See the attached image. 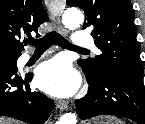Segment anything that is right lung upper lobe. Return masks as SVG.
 <instances>
[{
	"instance_id": "right-lung-upper-lobe-1",
	"label": "right lung upper lobe",
	"mask_w": 145,
	"mask_h": 124,
	"mask_svg": "<svg viewBox=\"0 0 145 124\" xmlns=\"http://www.w3.org/2000/svg\"><path fill=\"white\" fill-rule=\"evenodd\" d=\"M47 20L41 0H0V52L20 56V39Z\"/></svg>"
}]
</instances>
